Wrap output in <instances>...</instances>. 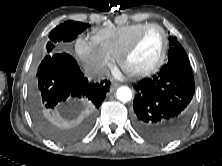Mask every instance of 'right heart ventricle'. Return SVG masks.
Returning a JSON list of instances; mask_svg holds the SVG:
<instances>
[{"mask_svg": "<svg viewBox=\"0 0 222 166\" xmlns=\"http://www.w3.org/2000/svg\"><path fill=\"white\" fill-rule=\"evenodd\" d=\"M149 23H135L121 27L97 29L93 32V42L111 58H118L133 37Z\"/></svg>", "mask_w": 222, "mask_h": 166, "instance_id": "1", "label": "right heart ventricle"}]
</instances>
